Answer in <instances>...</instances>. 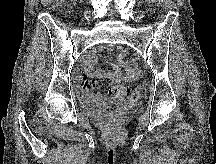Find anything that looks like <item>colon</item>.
Returning <instances> with one entry per match:
<instances>
[{
  "instance_id": "1",
  "label": "colon",
  "mask_w": 216,
  "mask_h": 164,
  "mask_svg": "<svg viewBox=\"0 0 216 164\" xmlns=\"http://www.w3.org/2000/svg\"><path fill=\"white\" fill-rule=\"evenodd\" d=\"M64 7L69 8L70 5L65 4ZM99 83L103 88L108 89L109 95L117 101L134 102L140 97L141 94L139 89H131L122 84L114 85L108 79H102Z\"/></svg>"
}]
</instances>
